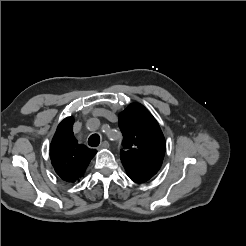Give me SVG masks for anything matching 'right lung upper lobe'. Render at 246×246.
<instances>
[{"label": "right lung upper lobe", "mask_w": 246, "mask_h": 246, "mask_svg": "<svg viewBox=\"0 0 246 246\" xmlns=\"http://www.w3.org/2000/svg\"><path fill=\"white\" fill-rule=\"evenodd\" d=\"M73 122V117L65 118L59 124L50 145V158L55 172L62 180L70 183L84 175L97 152L77 143L72 130Z\"/></svg>", "instance_id": "right-lung-upper-lobe-1"}]
</instances>
